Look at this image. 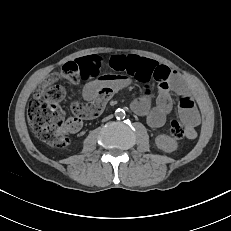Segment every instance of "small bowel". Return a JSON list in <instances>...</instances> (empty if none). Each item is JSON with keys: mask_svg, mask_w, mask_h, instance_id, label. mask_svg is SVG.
<instances>
[{"mask_svg": "<svg viewBox=\"0 0 231 231\" xmlns=\"http://www.w3.org/2000/svg\"><path fill=\"white\" fill-rule=\"evenodd\" d=\"M104 68H109L113 72H104ZM61 75L74 83L79 79L86 81L82 92L85 102L72 104L74 115L68 119V132L79 131L83 120L101 114L107 101L116 92L136 80L144 83L146 88L141 97L131 102L134 113L144 117L153 129L163 127L172 111L170 94L173 93L178 98L179 115L186 125V136L189 139L197 137L196 128L200 122V115L192 93L178 73L165 65L137 55H89L65 64ZM59 76L52 75L43 86ZM153 81L157 82L159 93L155 105L150 100L149 84Z\"/></svg>", "mask_w": 231, "mask_h": 231, "instance_id": "1", "label": "small bowel"}]
</instances>
